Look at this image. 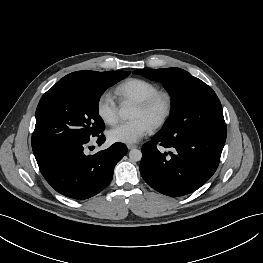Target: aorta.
Wrapping results in <instances>:
<instances>
[{
	"label": "aorta",
	"instance_id": "1",
	"mask_svg": "<svg viewBox=\"0 0 263 263\" xmlns=\"http://www.w3.org/2000/svg\"><path fill=\"white\" fill-rule=\"evenodd\" d=\"M133 109L130 107H123L119 110V115L122 118H130L132 117ZM129 158L133 162L140 161L142 158V152L138 149H131L129 152Z\"/></svg>",
	"mask_w": 263,
	"mask_h": 263
}]
</instances>
